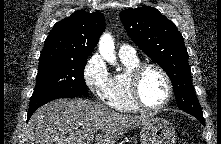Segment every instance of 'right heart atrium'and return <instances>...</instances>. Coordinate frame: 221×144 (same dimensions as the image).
Wrapping results in <instances>:
<instances>
[{"label": "right heart atrium", "instance_id": "d8ad5b80", "mask_svg": "<svg viewBox=\"0 0 221 144\" xmlns=\"http://www.w3.org/2000/svg\"><path fill=\"white\" fill-rule=\"evenodd\" d=\"M86 86L99 100L109 101L112 91V76L99 54L92 55L83 69Z\"/></svg>", "mask_w": 221, "mask_h": 144}]
</instances>
